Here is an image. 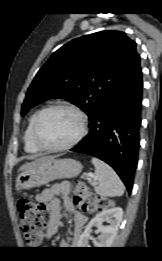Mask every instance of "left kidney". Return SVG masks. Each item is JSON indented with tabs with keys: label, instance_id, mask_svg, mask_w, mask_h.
Segmentation results:
<instances>
[{
	"label": "left kidney",
	"instance_id": "1",
	"mask_svg": "<svg viewBox=\"0 0 162 261\" xmlns=\"http://www.w3.org/2000/svg\"><path fill=\"white\" fill-rule=\"evenodd\" d=\"M123 210L119 207L103 210L98 213L85 227L84 232L80 235L77 242V247L87 248L89 245V237L92 227L97 226L101 232L99 241H94L93 244L97 248H108L112 245L122 221ZM107 221L109 225L104 226L102 223Z\"/></svg>",
	"mask_w": 162,
	"mask_h": 261
}]
</instances>
